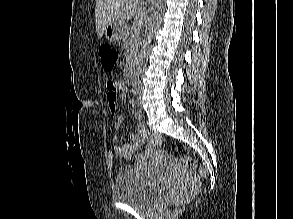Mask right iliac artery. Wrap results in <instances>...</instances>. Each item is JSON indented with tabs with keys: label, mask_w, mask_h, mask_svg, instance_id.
Returning <instances> with one entry per match:
<instances>
[{
	"label": "right iliac artery",
	"mask_w": 293,
	"mask_h": 219,
	"mask_svg": "<svg viewBox=\"0 0 293 219\" xmlns=\"http://www.w3.org/2000/svg\"><path fill=\"white\" fill-rule=\"evenodd\" d=\"M135 118H136L137 120H141V119H142V114H141L140 111L135 112Z\"/></svg>",
	"instance_id": "82829eb1"
}]
</instances>
